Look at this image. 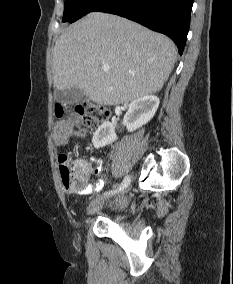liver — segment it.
Masks as SVG:
<instances>
[{"label":"liver","mask_w":233,"mask_h":284,"mask_svg":"<svg viewBox=\"0 0 233 284\" xmlns=\"http://www.w3.org/2000/svg\"><path fill=\"white\" fill-rule=\"evenodd\" d=\"M165 35L125 18L92 12L71 25L53 49V83L80 88L99 105H119L160 91L176 61ZM103 64L109 71L101 69Z\"/></svg>","instance_id":"1"}]
</instances>
